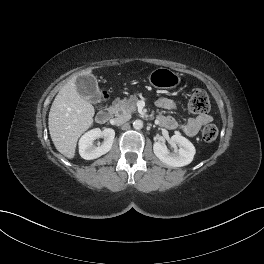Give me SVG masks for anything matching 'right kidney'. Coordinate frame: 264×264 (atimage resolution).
Segmentation results:
<instances>
[{
	"instance_id": "right-kidney-1",
	"label": "right kidney",
	"mask_w": 264,
	"mask_h": 264,
	"mask_svg": "<svg viewBox=\"0 0 264 264\" xmlns=\"http://www.w3.org/2000/svg\"><path fill=\"white\" fill-rule=\"evenodd\" d=\"M103 137L104 141L101 145L95 146L94 140ZM115 137V131L111 128H106L101 131L99 128L92 129L86 132L79 140V154L83 159H96L112 148Z\"/></svg>"
}]
</instances>
